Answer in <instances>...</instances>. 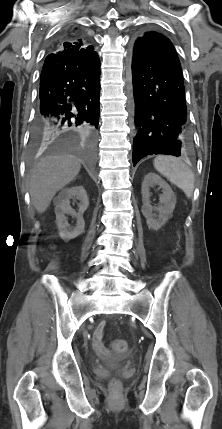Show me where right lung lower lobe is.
<instances>
[{
	"mask_svg": "<svg viewBox=\"0 0 222 429\" xmlns=\"http://www.w3.org/2000/svg\"><path fill=\"white\" fill-rule=\"evenodd\" d=\"M99 94L96 52L78 58L66 50L53 51L42 68L33 131L42 130L49 137L70 131L92 135L99 122Z\"/></svg>",
	"mask_w": 222,
	"mask_h": 429,
	"instance_id": "1",
	"label": "right lung lower lobe"
}]
</instances>
